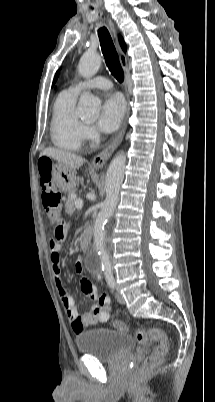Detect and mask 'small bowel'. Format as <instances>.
Here are the masks:
<instances>
[{"instance_id": "small-bowel-1", "label": "small bowel", "mask_w": 215, "mask_h": 402, "mask_svg": "<svg viewBox=\"0 0 215 402\" xmlns=\"http://www.w3.org/2000/svg\"><path fill=\"white\" fill-rule=\"evenodd\" d=\"M68 227L61 224L55 228L54 238L48 241L50 251L51 269L54 276V282L61 298L66 315L71 322L72 329L75 333L81 332L84 327L96 323L106 322L110 314V298L101 295L98 288L89 280L81 279L80 288L82 293L90 301L96 303L91 313L80 315L75 307L74 300L69 294L63 279L61 277V249L62 243L67 237ZM75 270L78 274L83 272V263L81 259H77Z\"/></svg>"}]
</instances>
